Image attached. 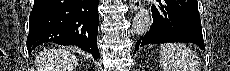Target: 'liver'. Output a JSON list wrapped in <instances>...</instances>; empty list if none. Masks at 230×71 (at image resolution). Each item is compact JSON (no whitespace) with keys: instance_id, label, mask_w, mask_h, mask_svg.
I'll return each mask as SVG.
<instances>
[{"instance_id":"1","label":"liver","mask_w":230,"mask_h":71,"mask_svg":"<svg viewBox=\"0 0 230 71\" xmlns=\"http://www.w3.org/2000/svg\"><path fill=\"white\" fill-rule=\"evenodd\" d=\"M37 71H73L77 66L74 54L64 49L41 52L35 59Z\"/></svg>"}]
</instances>
